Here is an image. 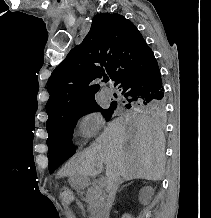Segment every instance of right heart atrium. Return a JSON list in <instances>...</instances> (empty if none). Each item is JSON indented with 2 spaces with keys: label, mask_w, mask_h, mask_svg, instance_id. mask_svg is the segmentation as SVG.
I'll return each instance as SVG.
<instances>
[{
  "label": "right heart atrium",
  "mask_w": 211,
  "mask_h": 218,
  "mask_svg": "<svg viewBox=\"0 0 211 218\" xmlns=\"http://www.w3.org/2000/svg\"><path fill=\"white\" fill-rule=\"evenodd\" d=\"M102 126V118L96 111L83 113L75 122L77 134L84 140L93 137Z\"/></svg>",
  "instance_id": "obj_1"
}]
</instances>
